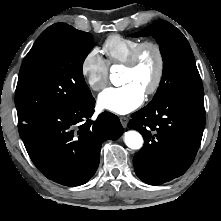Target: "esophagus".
<instances>
[{
	"label": "esophagus",
	"instance_id": "esophagus-1",
	"mask_svg": "<svg viewBox=\"0 0 221 221\" xmlns=\"http://www.w3.org/2000/svg\"><path fill=\"white\" fill-rule=\"evenodd\" d=\"M120 122H121V124H122L123 127H127L128 118L125 117V116H121V117H120Z\"/></svg>",
	"mask_w": 221,
	"mask_h": 221
}]
</instances>
